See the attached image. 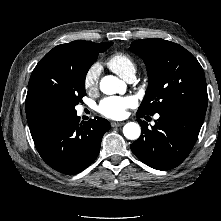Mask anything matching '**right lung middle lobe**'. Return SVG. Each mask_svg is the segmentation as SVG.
<instances>
[{
    "label": "right lung middle lobe",
    "mask_w": 221,
    "mask_h": 221,
    "mask_svg": "<svg viewBox=\"0 0 221 221\" xmlns=\"http://www.w3.org/2000/svg\"><path fill=\"white\" fill-rule=\"evenodd\" d=\"M113 43L94 42L76 48L67 56L48 66L47 85L42 95L45 107H57L75 112V106L86 95L85 77L100 52H105Z\"/></svg>",
    "instance_id": "dd1d6c3e"
}]
</instances>
